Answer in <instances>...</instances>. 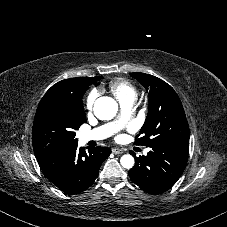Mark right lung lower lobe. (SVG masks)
<instances>
[{
	"label": "right lung lower lobe",
	"instance_id": "1",
	"mask_svg": "<svg viewBox=\"0 0 227 227\" xmlns=\"http://www.w3.org/2000/svg\"><path fill=\"white\" fill-rule=\"evenodd\" d=\"M106 147L90 148L88 153L77 145L37 159L46 177L61 191L78 194L98 177L102 162L110 155Z\"/></svg>",
	"mask_w": 227,
	"mask_h": 227
}]
</instances>
